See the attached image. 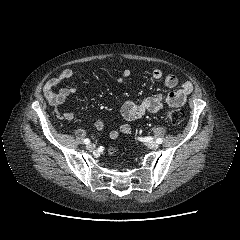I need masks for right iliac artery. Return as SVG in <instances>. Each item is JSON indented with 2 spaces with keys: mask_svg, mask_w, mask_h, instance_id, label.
<instances>
[{
  "mask_svg": "<svg viewBox=\"0 0 240 240\" xmlns=\"http://www.w3.org/2000/svg\"><path fill=\"white\" fill-rule=\"evenodd\" d=\"M84 143L88 144V143H90V140L89 139H84Z\"/></svg>",
  "mask_w": 240,
  "mask_h": 240,
  "instance_id": "obj_1",
  "label": "right iliac artery"
}]
</instances>
